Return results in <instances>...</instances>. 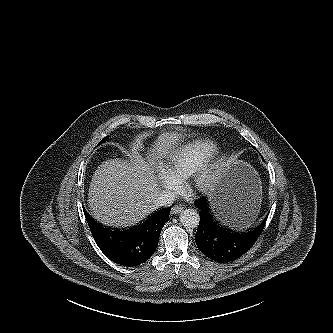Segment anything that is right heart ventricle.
Instances as JSON below:
<instances>
[{
  "instance_id": "1",
  "label": "right heart ventricle",
  "mask_w": 333,
  "mask_h": 333,
  "mask_svg": "<svg viewBox=\"0 0 333 333\" xmlns=\"http://www.w3.org/2000/svg\"><path fill=\"white\" fill-rule=\"evenodd\" d=\"M217 152V146L209 140H195L172 151L167 158L170 172L179 179L191 176Z\"/></svg>"
}]
</instances>
